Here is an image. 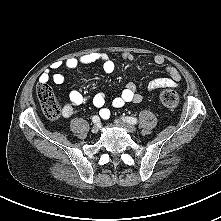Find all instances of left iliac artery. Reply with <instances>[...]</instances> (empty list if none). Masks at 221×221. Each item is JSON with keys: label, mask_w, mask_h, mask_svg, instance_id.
I'll use <instances>...</instances> for the list:
<instances>
[{"label": "left iliac artery", "mask_w": 221, "mask_h": 221, "mask_svg": "<svg viewBox=\"0 0 221 221\" xmlns=\"http://www.w3.org/2000/svg\"><path fill=\"white\" fill-rule=\"evenodd\" d=\"M123 120L132 125L137 124V119L134 117H123Z\"/></svg>", "instance_id": "obj_1"}]
</instances>
